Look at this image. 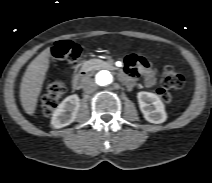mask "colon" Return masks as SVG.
<instances>
[{
  "instance_id": "obj_1",
  "label": "colon",
  "mask_w": 212,
  "mask_h": 183,
  "mask_svg": "<svg viewBox=\"0 0 212 183\" xmlns=\"http://www.w3.org/2000/svg\"><path fill=\"white\" fill-rule=\"evenodd\" d=\"M81 54V46L68 40L58 41L52 48L54 58L67 61L72 66L78 64ZM183 83L184 77L181 73L172 67H166L162 73L161 87L157 90V94L163 102H169L171 100L169 89L180 88ZM64 93L65 84L60 79H55L41 100V108L45 115L53 113Z\"/></svg>"
}]
</instances>
